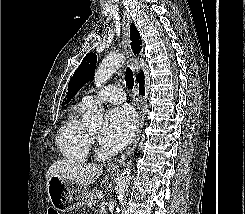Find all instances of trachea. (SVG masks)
Wrapping results in <instances>:
<instances>
[{
    "label": "trachea",
    "mask_w": 245,
    "mask_h": 214,
    "mask_svg": "<svg viewBox=\"0 0 245 214\" xmlns=\"http://www.w3.org/2000/svg\"><path fill=\"white\" fill-rule=\"evenodd\" d=\"M125 81L127 87L132 90L134 86V79H133L132 71L129 67L125 71Z\"/></svg>",
    "instance_id": "3493384b"
}]
</instances>
